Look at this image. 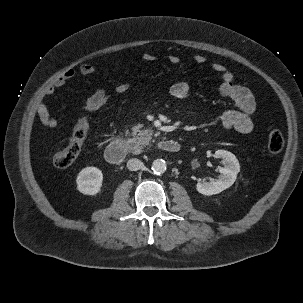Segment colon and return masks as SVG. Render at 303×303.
I'll use <instances>...</instances> for the list:
<instances>
[{
  "mask_svg": "<svg viewBox=\"0 0 303 303\" xmlns=\"http://www.w3.org/2000/svg\"><path fill=\"white\" fill-rule=\"evenodd\" d=\"M109 98L108 94L90 99L85 104V110L95 112L104 107ZM90 130V120L87 116L79 118L67 146L53 157V164L57 168H65L72 164L79 156L82 145ZM284 147V138L280 131L271 130L267 134V148L271 155L279 154Z\"/></svg>",
  "mask_w": 303,
  "mask_h": 303,
  "instance_id": "colon-1",
  "label": "colon"
}]
</instances>
